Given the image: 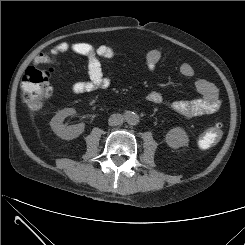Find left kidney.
Returning a JSON list of instances; mask_svg holds the SVG:
<instances>
[{
    "label": "left kidney",
    "mask_w": 245,
    "mask_h": 245,
    "mask_svg": "<svg viewBox=\"0 0 245 245\" xmlns=\"http://www.w3.org/2000/svg\"><path fill=\"white\" fill-rule=\"evenodd\" d=\"M166 142L172 148H179L188 145L189 138L183 128L175 127L166 134Z\"/></svg>",
    "instance_id": "obj_1"
}]
</instances>
